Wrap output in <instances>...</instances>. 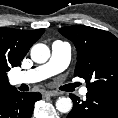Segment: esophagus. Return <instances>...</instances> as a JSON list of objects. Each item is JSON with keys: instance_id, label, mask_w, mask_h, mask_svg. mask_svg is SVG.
<instances>
[{"instance_id": "1", "label": "esophagus", "mask_w": 118, "mask_h": 118, "mask_svg": "<svg viewBox=\"0 0 118 118\" xmlns=\"http://www.w3.org/2000/svg\"><path fill=\"white\" fill-rule=\"evenodd\" d=\"M43 95H44V96L53 97V96H58L59 93L56 92V91H45V92L43 93Z\"/></svg>"}]
</instances>
